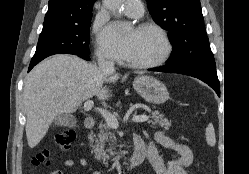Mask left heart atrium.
<instances>
[{"instance_id": "1", "label": "left heart atrium", "mask_w": 249, "mask_h": 174, "mask_svg": "<svg viewBox=\"0 0 249 174\" xmlns=\"http://www.w3.org/2000/svg\"><path fill=\"white\" fill-rule=\"evenodd\" d=\"M102 40L116 58H127L130 42L127 39H120L113 27L108 30V32L103 36Z\"/></svg>"}]
</instances>
